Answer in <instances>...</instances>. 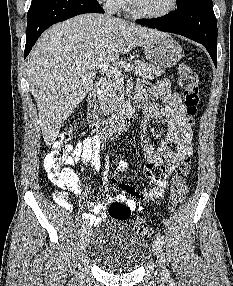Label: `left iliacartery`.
I'll return each mask as SVG.
<instances>
[{
  "mask_svg": "<svg viewBox=\"0 0 233 286\" xmlns=\"http://www.w3.org/2000/svg\"><path fill=\"white\" fill-rule=\"evenodd\" d=\"M156 238L161 243V245L164 244L163 236L159 232L156 234Z\"/></svg>",
  "mask_w": 233,
  "mask_h": 286,
  "instance_id": "1",
  "label": "left iliac artery"
}]
</instances>
